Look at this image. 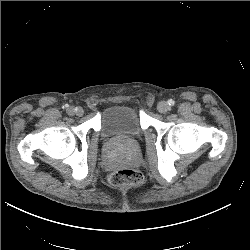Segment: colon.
I'll return each mask as SVG.
<instances>
[{"label": "colon", "mask_w": 250, "mask_h": 250, "mask_svg": "<svg viewBox=\"0 0 250 250\" xmlns=\"http://www.w3.org/2000/svg\"><path fill=\"white\" fill-rule=\"evenodd\" d=\"M142 174L134 169L122 168L112 171L109 182L115 187L137 185L142 182Z\"/></svg>", "instance_id": "obj_1"}]
</instances>
